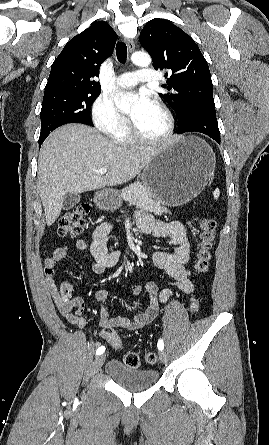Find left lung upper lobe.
<instances>
[{
	"instance_id": "1",
	"label": "left lung upper lobe",
	"mask_w": 269,
	"mask_h": 445,
	"mask_svg": "<svg viewBox=\"0 0 269 445\" xmlns=\"http://www.w3.org/2000/svg\"><path fill=\"white\" fill-rule=\"evenodd\" d=\"M140 43L155 69L171 76L160 96L175 111L179 127L197 113H216L208 64L194 40L171 22L155 18L142 29ZM167 77V73L165 74Z\"/></svg>"
}]
</instances>
